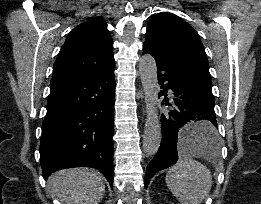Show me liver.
Masks as SVG:
<instances>
[{
	"mask_svg": "<svg viewBox=\"0 0 261 204\" xmlns=\"http://www.w3.org/2000/svg\"><path fill=\"white\" fill-rule=\"evenodd\" d=\"M49 186L65 204H98L105 193L102 174L87 168L57 171Z\"/></svg>",
	"mask_w": 261,
	"mask_h": 204,
	"instance_id": "liver-1",
	"label": "liver"
}]
</instances>
